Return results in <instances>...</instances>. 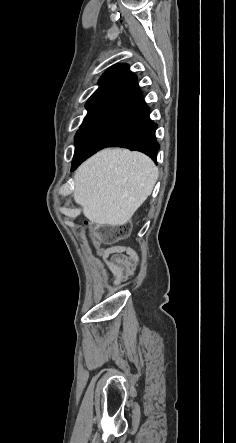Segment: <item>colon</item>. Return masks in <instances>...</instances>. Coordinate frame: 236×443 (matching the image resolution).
<instances>
[{"mask_svg": "<svg viewBox=\"0 0 236 443\" xmlns=\"http://www.w3.org/2000/svg\"><path fill=\"white\" fill-rule=\"evenodd\" d=\"M129 231V223H120L98 228L95 237L97 240L112 243L125 238L129 234Z\"/></svg>", "mask_w": 236, "mask_h": 443, "instance_id": "5ec220e1", "label": "colon"}]
</instances>
